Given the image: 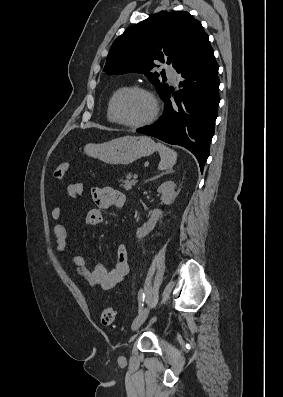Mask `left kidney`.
<instances>
[{
  "label": "left kidney",
  "mask_w": 283,
  "mask_h": 397,
  "mask_svg": "<svg viewBox=\"0 0 283 397\" xmlns=\"http://www.w3.org/2000/svg\"><path fill=\"white\" fill-rule=\"evenodd\" d=\"M175 188L176 184L173 181H166L158 187L157 191L161 194V200L164 204L170 205L175 201L177 196L175 193ZM161 216L162 211L160 209H154L148 221L137 230V238L141 239L148 235L154 229Z\"/></svg>",
  "instance_id": "5707ae66"
}]
</instances>
